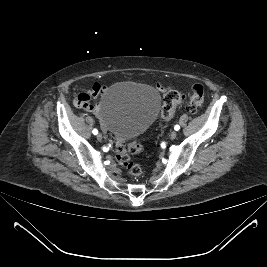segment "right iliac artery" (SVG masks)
Wrapping results in <instances>:
<instances>
[{
  "label": "right iliac artery",
  "mask_w": 267,
  "mask_h": 267,
  "mask_svg": "<svg viewBox=\"0 0 267 267\" xmlns=\"http://www.w3.org/2000/svg\"><path fill=\"white\" fill-rule=\"evenodd\" d=\"M93 134H94V135L98 134V130H97V129H94V130H93Z\"/></svg>",
  "instance_id": "right-iliac-artery-1"
}]
</instances>
